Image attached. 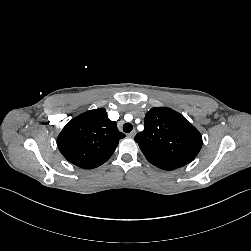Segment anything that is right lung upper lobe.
<instances>
[{"mask_svg":"<svg viewBox=\"0 0 251 251\" xmlns=\"http://www.w3.org/2000/svg\"><path fill=\"white\" fill-rule=\"evenodd\" d=\"M124 137L106 110L99 108L73 118L58 135L57 145L69 162L92 169L105 163Z\"/></svg>","mask_w":251,"mask_h":251,"instance_id":"cb5924a9","label":"right lung upper lobe"}]
</instances>
